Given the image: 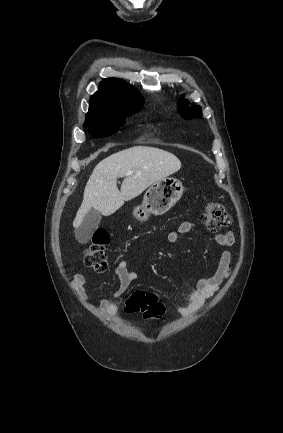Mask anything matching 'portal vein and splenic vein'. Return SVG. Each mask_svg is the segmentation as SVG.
Instances as JSON below:
<instances>
[{
    "instance_id": "obj_1",
    "label": "portal vein and splenic vein",
    "mask_w": 283,
    "mask_h": 433,
    "mask_svg": "<svg viewBox=\"0 0 283 433\" xmlns=\"http://www.w3.org/2000/svg\"><path fill=\"white\" fill-rule=\"evenodd\" d=\"M132 172H134V170H129V172H125V174H132Z\"/></svg>"
}]
</instances>
